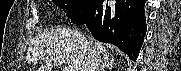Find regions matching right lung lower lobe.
I'll return each instance as SVG.
<instances>
[{
	"instance_id": "1",
	"label": "right lung lower lobe",
	"mask_w": 181,
	"mask_h": 71,
	"mask_svg": "<svg viewBox=\"0 0 181 71\" xmlns=\"http://www.w3.org/2000/svg\"><path fill=\"white\" fill-rule=\"evenodd\" d=\"M146 0H116L114 7L108 0H97L94 7L80 17L71 18L74 24H86L92 36L116 45L136 61L147 25L144 13Z\"/></svg>"
}]
</instances>
